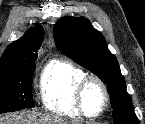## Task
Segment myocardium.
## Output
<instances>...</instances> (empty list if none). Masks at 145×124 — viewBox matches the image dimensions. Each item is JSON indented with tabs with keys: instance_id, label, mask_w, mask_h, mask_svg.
Segmentation results:
<instances>
[{
	"instance_id": "f54148a6",
	"label": "myocardium",
	"mask_w": 145,
	"mask_h": 124,
	"mask_svg": "<svg viewBox=\"0 0 145 124\" xmlns=\"http://www.w3.org/2000/svg\"><path fill=\"white\" fill-rule=\"evenodd\" d=\"M91 84H96L103 93L102 106L100 110L95 114H89L86 111L85 104H84V96H85L86 90ZM75 99H76V105L80 114L85 118L95 119V118L100 117L105 112L110 101V95H109V91L106 84L99 77L94 76V75H86L77 84L76 92H75Z\"/></svg>"
}]
</instances>
